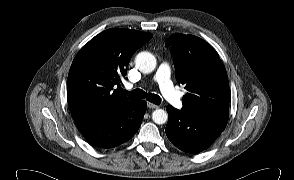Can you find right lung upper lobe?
Wrapping results in <instances>:
<instances>
[{"label": "right lung upper lobe", "instance_id": "cb5924a9", "mask_svg": "<svg viewBox=\"0 0 294 180\" xmlns=\"http://www.w3.org/2000/svg\"><path fill=\"white\" fill-rule=\"evenodd\" d=\"M152 34L112 28L95 36L74 58L68 74V104L76 124L103 117L131 99L123 95L121 77L134 52Z\"/></svg>", "mask_w": 294, "mask_h": 180}]
</instances>
